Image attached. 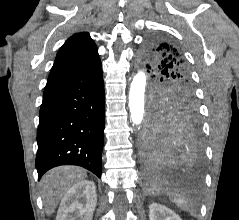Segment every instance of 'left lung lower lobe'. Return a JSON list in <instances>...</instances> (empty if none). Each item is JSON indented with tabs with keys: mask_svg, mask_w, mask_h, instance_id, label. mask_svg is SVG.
I'll use <instances>...</instances> for the list:
<instances>
[{
	"mask_svg": "<svg viewBox=\"0 0 239 220\" xmlns=\"http://www.w3.org/2000/svg\"><path fill=\"white\" fill-rule=\"evenodd\" d=\"M142 153L145 164L151 171L166 165L197 163L202 157L197 114L152 108Z\"/></svg>",
	"mask_w": 239,
	"mask_h": 220,
	"instance_id": "obj_1",
	"label": "left lung lower lobe"
}]
</instances>
